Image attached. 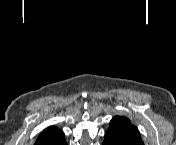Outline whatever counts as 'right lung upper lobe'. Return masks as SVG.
Wrapping results in <instances>:
<instances>
[{
  "label": "right lung upper lobe",
  "instance_id": "right-lung-upper-lobe-1",
  "mask_svg": "<svg viewBox=\"0 0 176 145\" xmlns=\"http://www.w3.org/2000/svg\"><path fill=\"white\" fill-rule=\"evenodd\" d=\"M64 133L55 126L45 129L37 138L35 145H64Z\"/></svg>",
  "mask_w": 176,
  "mask_h": 145
}]
</instances>
